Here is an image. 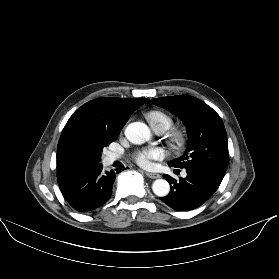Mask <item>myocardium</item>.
Masks as SVG:
<instances>
[{
    "label": "myocardium",
    "mask_w": 279,
    "mask_h": 279,
    "mask_svg": "<svg viewBox=\"0 0 279 279\" xmlns=\"http://www.w3.org/2000/svg\"><path fill=\"white\" fill-rule=\"evenodd\" d=\"M167 138L169 141V144L174 148V149H181L186 141V133L185 130L182 128H172L168 134Z\"/></svg>",
    "instance_id": "myocardium-1"
}]
</instances>
